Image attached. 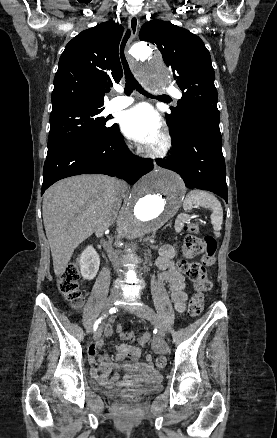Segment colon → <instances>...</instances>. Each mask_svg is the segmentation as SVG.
<instances>
[{"instance_id":"colon-1","label":"colon","mask_w":277,"mask_h":438,"mask_svg":"<svg viewBox=\"0 0 277 438\" xmlns=\"http://www.w3.org/2000/svg\"><path fill=\"white\" fill-rule=\"evenodd\" d=\"M184 230L187 232L183 244V254L188 257L201 256L200 263L181 260L178 262L179 270L184 273L190 281L194 282L200 293H194L188 303L187 312L190 316H198L204 307L203 292H207L212 287V282L208 276L207 268L213 265L214 255L217 250V240L213 235L194 236L199 231L197 221H188L184 224ZM78 268L68 266L64 269L59 282L60 293L69 300L72 305L78 306L82 301V292L77 282ZM117 330H120L119 328ZM127 337V336H126ZM166 359L159 356L156 359L158 367H164Z\"/></svg>"}]
</instances>
